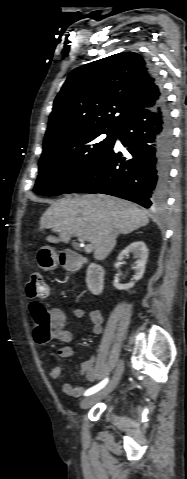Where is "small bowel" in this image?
I'll use <instances>...</instances> for the list:
<instances>
[{"label": "small bowel", "mask_w": 187, "mask_h": 479, "mask_svg": "<svg viewBox=\"0 0 187 479\" xmlns=\"http://www.w3.org/2000/svg\"><path fill=\"white\" fill-rule=\"evenodd\" d=\"M73 314L79 319H87L91 323V332L93 334H100L102 331L103 315L100 310L95 309L87 313L81 308H74ZM51 315V335L54 340L61 345L57 349V354L62 358H75L76 352L69 345L72 340V333L65 329L66 315L60 308H52ZM62 368L59 364L51 366L49 369V376L52 379H58L61 376ZM80 376H85L89 383H94L98 380V370L95 367V358L92 357L81 363L78 371ZM62 392L69 396L78 398L82 396L84 387L79 384L63 383Z\"/></svg>", "instance_id": "c3829d8e"}]
</instances>
